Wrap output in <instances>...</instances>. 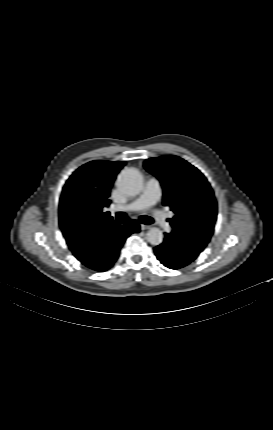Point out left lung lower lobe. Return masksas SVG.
<instances>
[{
  "label": "left lung lower lobe",
  "instance_id": "obj_1",
  "mask_svg": "<svg viewBox=\"0 0 273 430\" xmlns=\"http://www.w3.org/2000/svg\"><path fill=\"white\" fill-rule=\"evenodd\" d=\"M158 260L170 269L182 268L194 261L199 253L179 245L172 233H165L162 244L154 248Z\"/></svg>",
  "mask_w": 273,
  "mask_h": 430
}]
</instances>
